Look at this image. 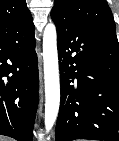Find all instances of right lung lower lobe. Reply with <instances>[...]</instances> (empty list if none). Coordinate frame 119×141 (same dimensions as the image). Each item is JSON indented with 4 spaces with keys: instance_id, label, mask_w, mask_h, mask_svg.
<instances>
[{
    "instance_id": "1",
    "label": "right lung lower lobe",
    "mask_w": 119,
    "mask_h": 141,
    "mask_svg": "<svg viewBox=\"0 0 119 141\" xmlns=\"http://www.w3.org/2000/svg\"><path fill=\"white\" fill-rule=\"evenodd\" d=\"M32 18L0 29V135L32 141L38 67Z\"/></svg>"
}]
</instances>
